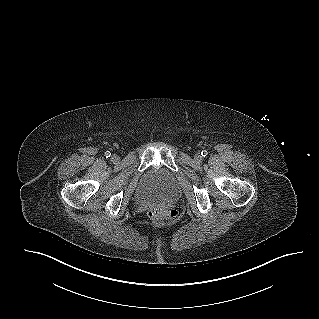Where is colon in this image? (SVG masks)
<instances>
[{"label": "colon", "instance_id": "5ec220e1", "mask_svg": "<svg viewBox=\"0 0 319 319\" xmlns=\"http://www.w3.org/2000/svg\"><path fill=\"white\" fill-rule=\"evenodd\" d=\"M148 215L150 218L154 220H160L164 218H172L176 216V212L174 210L167 211L161 208H152L149 210Z\"/></svg>", "mask_w": 319, "mask_h": 319}]
</instances>
